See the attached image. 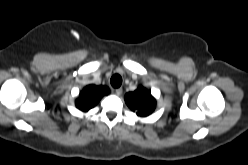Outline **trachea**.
<instances>
[{"label":"trachea","instance_id":"trachea-1","mask_svg":"<svg viewBox=\"0 0 248 165\" xmlns=\"http://www.w3.org/2000/svg\"><path fill=\"white\" fill-rule=\"evenodd\" d=\"M110 83L111 85L114 87V88H118L121 86L122 84V78L120 75L118 74H115L111 77V80H110Z\"/></svg>","mask_w":248,"mask_h":165}]
</instances>
